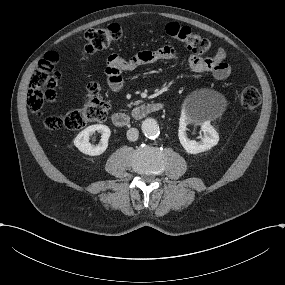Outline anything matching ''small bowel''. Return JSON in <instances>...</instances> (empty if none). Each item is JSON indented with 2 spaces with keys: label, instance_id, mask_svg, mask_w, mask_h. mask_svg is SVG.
I'll return each instance as SVG.
<instances>
[{
  "label": "small bowel",
  "instance_id": "small-bowel-1",
  "mask_svg": "<svg viewBox=\"0 0 285 285\" xmlns=\"http://www.w3.org/2000/svg\"><path fill=\"white\" fill-rule=\"evenodd\" d=\"M179 53L171 46H163L154 50L137 52L130 59H124L118 55H111L106 63L105 74L108 86L113 93H118L123 87L122 72L132 71L136 68L163 60H178ZM226 52L218 48L213 58H204L196 53L187 56V63L192 71L210 74L216 80H224L229 77L231 67L225 61Z\"/></svg>",
  "mask_w": 285,
  "mask_h": 285
}]
</instances>
